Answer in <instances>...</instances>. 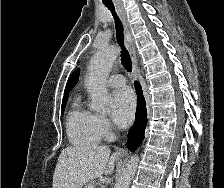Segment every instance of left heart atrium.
Returning <instances> with one entry per match:
<instances>
[{
  "instance_id": "left-heart-atrium-1",
  "label": "left heart atrium",
  "mask_w": 224,
  "mask_h": 188,
  "mask_svg": "<svg viewBox=\"0 0 224 188\" xmlns=\"http://www.w3.org/2000/svg\"><path fill=\"white\" fill-rule=\"evenodd\" d=\"M135 102L130 89L122 88L111 95V115L115 123L128 126L134 118Z\"/></svg>"
}]
</instances>
